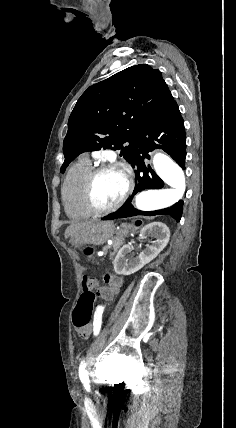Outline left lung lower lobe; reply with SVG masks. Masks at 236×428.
<instances>
[{
  "label": "left lung lower lobe",
  "mask_w": 236,
  "mask_h": 428,
  "mask_svg": "<svg viewBox=\"0 0 236 428\" xmlns=\"http://www.w3.org/2000/svg\"><path fill=\"white\" fill-rule=\"evenodd\" d=\"M139 148L134 167L137 166L136 185L129 200L116 212L102 218V220H112L118 218L132 217L136 215L154 216L158 214L170 215L179 221L182 215L183 201L180 200L173 206L157 211H140L135 209L131 200L133 196L146 189H161L164 182L151 169L146 166L144 159H150L148 152L155 148H160L167 152L182 169H185L186 158V136L184 121L180 114L178 105L173 101L169 107L158 117L149 121L138 137Z\"/></svg>",
  "instance_id": "obj_1"
}]
</instances>
